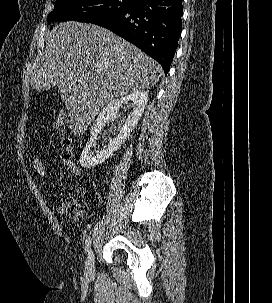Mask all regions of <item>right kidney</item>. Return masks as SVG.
Segmentation results:
<instances>
[{
  "instance_id": "ca27d5eb",
  "label": "right kidney",
  "mask_w": 272,
  "mask_h": 303,
  "mask_svg": "<svg viewBox=\"0 0 272 303\" xmlns=\"http://www.w3.org/2000/svg\"><path fill=\"white\" fill-rule=\"evenodd\" d=\"M148 101V93L146 91H135L121 99L109 102L98 114L95 120L89 141L87 142L80 156L79 163L83 168H92L105 162L130 136L134 128L137 126L145 106ZM131 102L133 111L121 123L119 133H114L115 137L110 139L107 145L97 152L96 155L91 153L92 146L96 143L98 135L101 133L106 123H113L118 118L119 108Z\"/></svg>"
}]
</instances>
